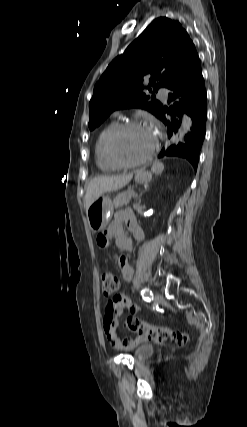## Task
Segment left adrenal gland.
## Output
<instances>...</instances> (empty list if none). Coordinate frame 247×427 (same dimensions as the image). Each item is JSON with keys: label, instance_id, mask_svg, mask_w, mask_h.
<instances>
[{"label": "left adrenal gland", "instance_id": "obj_1", "mask_svg": "<svg viewBox=\"0 0 247 427\" xmlns=\"http://www.w3.org/2000/svg\"><path fill=\"white\" fill-rule=\"evenodd\" d=\"M141 196H142V193L138 196V198H137V200H138V202L140 203V201H141Z\"/></svg>", "mask_w": 247, "mask_h": 427}]
</instances>
